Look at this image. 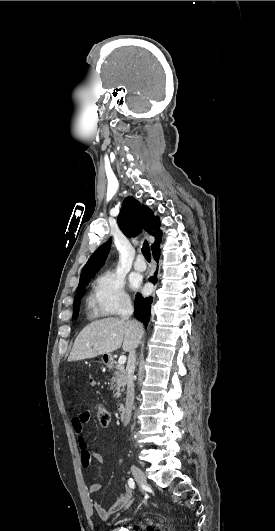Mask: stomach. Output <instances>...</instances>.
Masks as SVG:
<instances>
[{"mask_svg":"<svg viewBox=\"0 0 275 531\" xmlns=\"http://www.w3.org/2000/svg\"><path fill=\"white\" fill-rule=\"evenodd\" d=\"M102 361L105 365H111V363H113L112 355H110V353H104V355H102Z\"/></svg>","mask_w":275,"mask_h":531,"instance_id":"0dacf381","label":"stomach"}]
</instances>
